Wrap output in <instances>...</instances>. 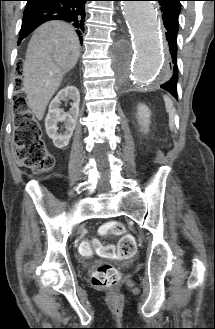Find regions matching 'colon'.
I'll list each match as a JSON object with an SVG mask.
<instances>
[{"instance_id":"obj_1","label":"colon","mask_w":215,"mask_h":329,"mask_svg":"<svg viewBox=\"0 0 215 329\" xmlns=\"http://www.w3.org/2000/svg\"><path fill=\"white\" fill-rule=\"evenodd\" d=\"M16 62H23V55L15 56ZM14 73H24V66H14ZM14 142L16 146L15 156L25 166L35 172L49 171L54 165V157L47 150L42 139V131L39 123L34 118L26 101L18 97L14 104ZM103 236H120L117 247L113 245H103L98 240L85 241L80 246L83 254H89L92 247L108 258L117 257L119 259L131 258L137 249L136 240L132 235L124 234V227L121 223L107 222L100 228ZM120 281L119 270L110 263L101 264L92 275V284L100 288L115 287Z\"/></svg>"}]
</instances>
